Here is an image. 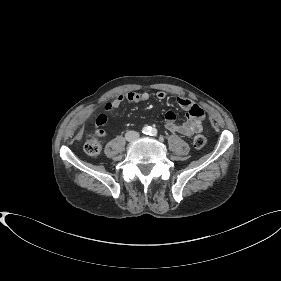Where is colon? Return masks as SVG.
Returning <instances> with one entry per match:
<instances>
[{
  "mask_svg": "<svg viewBox=\"0 0 281 281\" xmlns=\"http://www.w3.org/2000/svg\"><path fill=\"white\" fill-rule=\"evenodd\" d=\"M107 118L104 114L96 117L93 123V131L88 135L84 145L85 152L90 156H98L102 151V144L99 140L105 134L104 125ZM193 144L196 148H202L206 144V138L203 135L195 136Z\"/></svg>",
  "mask_w": 281,
  "mask_h": 281,
  "instance_id": "1",
  "label": "colon"
}]
</instances>
